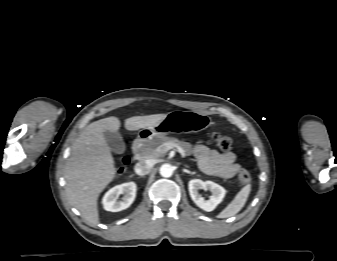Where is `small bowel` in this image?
<instances>
[{
  "instance_id": "c3829d8e",
  "label": "small bowel",
  "mask_w": 337,
  "mask_h": 261,
  "mask_svg": "<svg viewBox=\"0 0 337 261\" xmlns=\"http://www.w3.org/2000/svg\"><path fill=\"white\" fill-rule=\"evenodd\" d=\"M200 169L212 176L222 178H232L240 170V165L236 162V155L233 152H219L208 146L198 144L194 147Z\"/></svg>"
}]
</instances>
